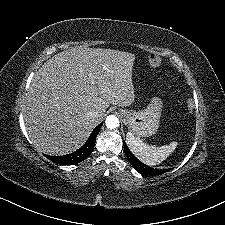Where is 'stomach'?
<instances>
[{"label":"stomach","instance_id":"0dacf381","mask_svg":"<svg viewBox=\"0 0 225 225\" xmlns=\"http://www.w3.org/2000/svg\"><path fill=\"white\" fill-rule=\"evenodd\" d=\"M161 103L153 100L141 111L122 110V117L129 131L136 137H149L156 133L160 121Z\"/></svg>","mask_w":225,"mask_h":225}]
</instances>
